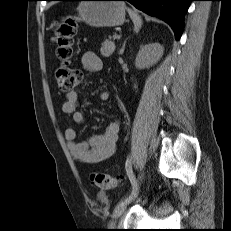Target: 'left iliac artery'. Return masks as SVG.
<instances>
[{
  "mask_svg": "<svg viewBox=\"0 0 231 231\" xmlns=\"http://www.w3.org/2000/svg\"><path fill=\"white\" fill-rule=\"evenodd\" d=\"M125 169H126L127 175L133 187V190L131 194L129 195V197H127V200H132L134 197H136L137 192H138V190L135 189L136 180H135V175L132 170V156L127 157V160L125 163Z\"/></svg>",
  "mask_w": 231,
  "mask_h": 231,
  "instance_id": "obj_1",
  "label": "left iliac artery"
}]
</instances>
